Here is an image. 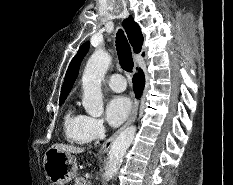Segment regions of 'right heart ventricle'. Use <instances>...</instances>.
Returning a JSON list of instances; mask_svg holds the SVG:
<instances>
[{"mask_svg":"<svg viewBox=\"0 0 233 185\" xmlns=\"http://www.w3.org/2000/svg\"><path fill=\"white\" fill-rule=\"evenodd\" d=\"M87 116L79 113L74 107L69 108L64 117V129L67 139L75 144H86L88 139L85 134Z\"/></svg>","mask_w":233,"mask_h":185,"instance_id":"1","label":"right heart ventricle"}]
</instances>
